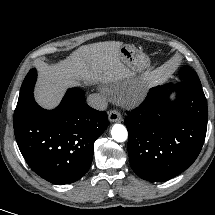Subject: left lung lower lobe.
Returning a JSON list of instances; mask_svg holds the SVG:
<instances>
[{
	"label": "left lung lower lobe",
	"instance_id": "left-lung-lower-lobe-1",
	"mask_svg": "<svg viewBox=\"0 0 215 215\" xmlns=\"http://www.w3.org/2000/svg\"><path fill=\"white\" fill-rule=\"evenodd\" d=\"M176 91V100L169 95ZM208 121L201 85L180 82L152 88L143 103L127 112L128 154L133 171L152 182L169 180L195 161Z\"/></svg>",
	"mask_w": 215,
	"mask_h": 215
}]
</instances>
